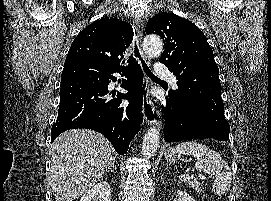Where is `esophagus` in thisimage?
Wrapping results in <instances>:
<instances>
[{
	"label": "esophagus",
	"mask_w": 271,
	"mask_h": 201,
	"mask_svg": "<svg viewBox=\"0 0 271 201\" xmlns=\"http://www.w3.org/2000/svg\"><path fill=\"white\" fill-rule=\"evenodd\" d=\"M133 25L136 29L137 38H138V45L140 47L141 55L143 59L150 64V60L148 57L143 53L141 50L142 45V35H143V21L141 18L135 17L133 19ZM150 88H151V82L148 79L147 76L144 78V84H143V104H142V110L144 117L146 119V122L150 125H154L158 128V130L162 129V123L160 120V115L157 107L152 102L151 96H150Z\"/></svg>",
	"instance_id": "esophagus-1"
}]
</instances>
